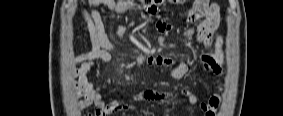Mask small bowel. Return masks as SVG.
I'll use <instances>...</instances> for the list:
<instances>
[{
    "mask_svg": "<svg viewBox=\"0 0 283 116\" xmlns=\"http://www.w3.org/2000/svg\"><path fill=\"white\" fill-rule=\"evenodd\" d=\"M91 9H81L80 14L84 19L90 39L91 48L87 52L74 57L73 62L78 64L76 76L78 78V94L84 97V101L78 105L79 109L95 107V115L102 116L119 110H134L141 115L130 104L134 100H148L162 102L170 99L174 92L171 90L155 91L144 90L130 95L127 99H117L106 103L103 100V93L99 86L87 78L88 72L93 68L95 62L108 63L112 60V53L121 54V49L114 44L106 35L101 15L96 9L98 5L105 6L108 10L118 15H127L134 7L135 2L131 0H90ZM157 9H154V13ZM188 22L195 26L185 31V35L191 37L196 35V43L201 47L202 52L198 58L202 64L203 75L219 76L222 73L224 63L222 38L218 34L219 9L216 5H210L206 0L195 1L194 8L190 12ZM170 26L164 22L158 23V31L165 32ZM141 65H156L168 70L170 76L175 80H182L189 69V62L180 61L173 63L168 57L142 56L139 59ZM181 94L189 104H198L197 96L188 89H182ZM220 104V96L214 95L208 102L200 103V109L206 116H213Z\"/></svg>",
    "mask_w": 283,
    "mask_h": 116,
    "instance_id": "obj_1",
    "label": "small bowel"
}]
</instances>
